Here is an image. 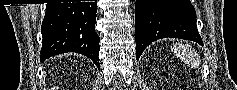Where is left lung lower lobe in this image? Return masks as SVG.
<instances>
[{
    "mask_svg": "<svg viewBox=\"0 0 237 90\" xmlns=\"http://www.w3.org/2000/svg\"><path fill=\"white\" fill-rule=\"evenodd\" d=\"M174 37L203 44L190 0H136L135 40L137 60L153 41Z\"/></svg>",
    "mask_w": 237,
    "mask_h": 90,
    "instance_id": "0a47b994",
    "label": "left lung lower lobe"
}]
</instances>
